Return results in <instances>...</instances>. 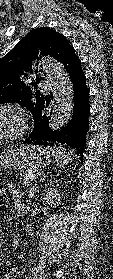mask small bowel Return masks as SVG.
Instances as JSON below:
<instances>
[{
  "instance_id": "obj_1",
  "label": "small bowel",
  "mask_w": 113,
  "mask_h": 279,
  "mask_svg": "<svg viewBox=\"0 0 113 279\" xmlns=\"http://www.w3.org/2000/svg\"><path fill=\"white\" fill-rule=\"evenodd\" d=\"M11 193L14 198L15 205L20 202V193L16 188L11 187ZM4 194V189L0 188V196ZM3 279H16V275L14 271L6 272L3 276Z\"/></svg>"
}]
</instances>
